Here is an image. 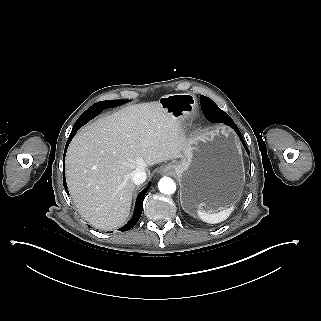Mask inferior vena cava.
Listing matches in <instances>:
<instances>
[{"mask_svg":"<svg viewBox=\"0 0 321 321\" xmlns=\"http://www.w3.org/2000/svg\"><path fill=\"white\" fill-rule=\"evenodd\" d=\"M130 177L136 185L142 184L147 178L146 172L142 169H136L132 171L130 173Z\"/></svg>","mask_w":321,"mask_h":321,"instance_id":"602c4592","label":"inferior vena cava"}]
</instances>
